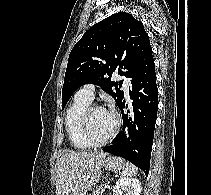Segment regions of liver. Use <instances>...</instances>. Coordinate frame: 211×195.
<instances>
[{"label":"liver","mask_w":211,"mask_h":195,"mask_svg":"<svg viewBox=\"0 0 211 195\" xmlns=\"http://www.w3.org/2000/svg\"><path fill=\"white\" fill-rule=\"evenodd\" d=\"M104 152H69L57 163V194L82 195L91 189L88 177L106 157Z\"/></svg>","instance_id":"6515ba94"}]
</instances>
